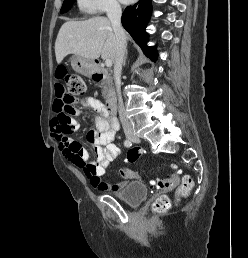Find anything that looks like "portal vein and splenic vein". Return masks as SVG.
I'll use <instances>...</instances> for the list:
<instances>
[{"label": "portal vein and splenic vein", "instance_id": "obj_1", "mask_svg": "<svg viewBox=\"0 0 248 258\" xmlns=\"http://www.w3.org/2000/svg\"><path fill=\"white\" fill-rule=\"evenodd\" d=\"M105 65H106L107 67H111V66H112V61H111L110 59H106V60H105Z\"/></svg>", "mask_w": 248, "mask_h": 258}]
</instances>
